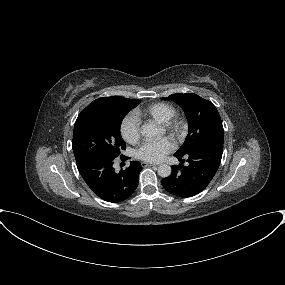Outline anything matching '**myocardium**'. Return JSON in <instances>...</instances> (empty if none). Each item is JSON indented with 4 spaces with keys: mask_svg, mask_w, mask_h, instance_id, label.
<instances>
[{
    "mask_svg": "<svg viewBox=\"0 0 285 285\" xmlns=\"http://www.w3.org/2000/svg\"><path fill=\"white\" fill-rule=\"evenodd\" d=\"M163 128L174 139H180L184 133L183 122L174 116L163 123Z\"/></svg>",
    "mask_w": 285,
    "mask_h": 285,
    "instance_id": "obj_1",
    "label": "myocardium"
}]
</instances>
